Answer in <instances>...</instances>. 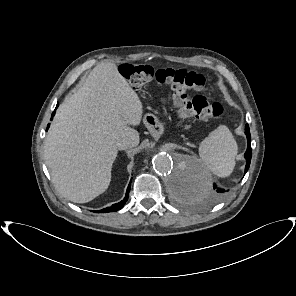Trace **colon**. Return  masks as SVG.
Segmentation results:
<instances>
[{"mask_svg": "<svg viewBox=\"0 0 296 296\" xmlns=\"http://www.w3.org/2000/svg\"><path fill=\"white\" fill-rule=\"evenodd\" d=\"M121 74L134 88H140L151 81L167 84L173 91V102L181 118L195 117L203 121H210L220 117L223 113L222 105L204 95L189 97V90L202 91L206 80L202 74L185 68L154 69L149 65L124 64Z\"/></svg>", "mask_w": 296, "mask_h": 296, "instance_id": "obj_1", "label": "colon"}]
</instances>
